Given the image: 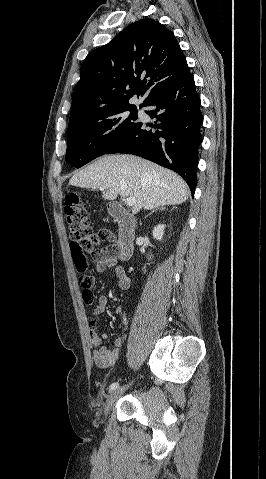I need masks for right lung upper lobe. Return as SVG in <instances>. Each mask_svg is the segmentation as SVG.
Masks as SVG:
<instances>
[{
    "instance_id": "1",
    "label": "right lung upper lobe",
    "mask_w": 266,
    "mask_h": 479,
    "mask_svg": "<svg viewBox=\"0 0 266 479\" xmlns=\"http://www.w3.org/2000/svg\"><path fill=\"white\" fill-rule=\"evenodd\" d=\"M189 73L173 33L157 20L141 19L85 58L69 121L136 107L128 103L135 94L144 97L142 107L159 89Z\"/></svg>"
}]
</instances>
